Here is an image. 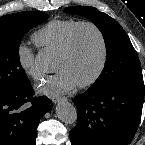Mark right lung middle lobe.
Returning a JSON list of instances; mask_svg holds the SVG:
<instances>
[{"mask_svg": "<svg viewBox=\"0 0 145 145\" xmlns=\"http://www.w3.org/2000/svg\"><path fill=\"white\" fill-rule=\"evenodd\" d=\"M47 18V14L34 11L0 17V91L19 90L29 82L19 60L20 42Z\"/></svg>", "mask_w": 145, "mask_h": 145, "instance_id": "obj_1", "label": "right lung middle lobe"}]
</instances>
